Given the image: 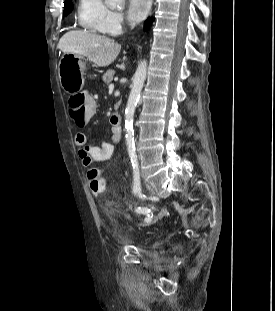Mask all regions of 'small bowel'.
Instances as JSON below:
<instances>
[{
	"label": "small bowel",
	"mask_w": 275,
	"mask_h": 311,
	"mask_svg": "<svg viewBox=\"0 0 275 311\" xmlns=\"http://www.w3.org/2000/svg\"><path fill=\"white\" fill-rule=\"evenodd\" d=\"M97 111V107H96ZM117 121H112L110 140H104L100 145H91L88 143L87 135L84 132H77L74 136V142L79 149V157L85 167L94 163H103L112 157L116 144L120 141L122 135L121 126H116Z\"/></svg>",
	"instance_id": "c3829d8e"
}]
</instances>
